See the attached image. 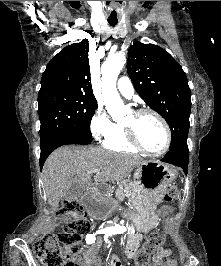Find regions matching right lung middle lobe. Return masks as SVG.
Masks as SVG:
<instances>
[{
  "instance_id": "dd1d6c3e",
  "label": "right lung middle lobe",
  "mask_w": 221,
  "mask_h": 266,
  "mask_svg": "<svg viewBox=\"0 0 221 266\" xmlns=\"http://www.w3.org/2000/svg\"><path fill=\"white\" fill-rule=\"evenodd\" d=\"M40 146L63 136L92 141L90 122L97 102L87 96L60 89L39 91Z\"/></svg>"
}]
</instances>
